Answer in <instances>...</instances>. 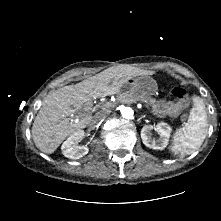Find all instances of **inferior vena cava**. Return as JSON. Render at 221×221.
<instances>
[{
	"label": "inferior vena cava",
	"instance_id": "1",
	"mask_svg": "<svg viewBox=\"0 0 221 221\" xmlns=\"http://www.w3.org/2000/svg\"><path fill=\"white\" fill-rule=\"evenodd\" d=\"M108 113H110V110H109V109L100 110V111H98V112L95 114L94 118H95L96 121H100V120H102Z\"/></svg>",
	"mask_w": 221,
	"mask_h": 221
}]
</instances>
